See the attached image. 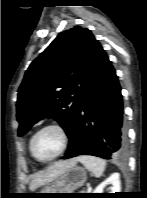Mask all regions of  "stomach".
Returning <instances> with one entry per match:
<instances>
[{"mask_svg":"<svg viewBox=\"0 0 147 198\" xmlns=\"http://www.w3.org/2000/svg\"><path fill=\"white\" fill-rule=\"evenodd\" d=\"M86 179L85 169L74 166L47 184L39 193H73V191L84 185ZM43 195H45L44 197H58L55 194Z\"/></svg>","mask_w":147,"mask_h":198,"instance_id":"0dacf381","label":"stomach"}]
</instances>
